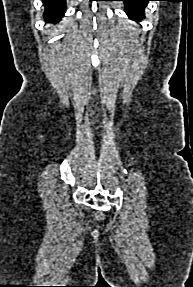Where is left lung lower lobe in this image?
Masks as SVG:
<instances>
[{
  "mask_svg": "<svg viewBox=\"0 0 193 287\" xmlns=\"http://www.w3.org/2000/svg\"><path fill=\"white\" fill-rule=\"evenodd\" d=\"M125 4V12L130 19L140 20L144 18V8L149 1L154 0H120Z\"/></svg>",
  "mask_w": 193,
  "mask_h": 287,
  "instance_id": "0a47b994",
  "label": "left lung lower lobe"
}]
</instances>
